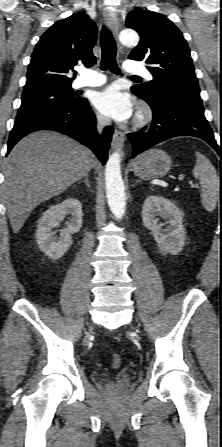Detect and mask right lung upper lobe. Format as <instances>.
I'll return each instance as SVG.
<instances>
[{"label": "right lung upper lobe", "instance_id": "right-lung-upper-lobe-1", "mask_svg": "<svg viewBox=\"0 0 222 447\" xmlns=\"http://www.w3.org/2000/svg\"><path fill=\"white\" fill-rule=\"evenodd\" d=\"M97 40L96 24L84 12L54 23L40 38L27 72L24 92L71 86L66 74L78 61L92 66V48Z\"/></svg>", "mask_w": 222, "mask_h": 447}]
</instances>
